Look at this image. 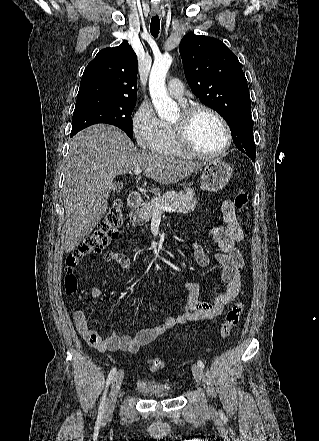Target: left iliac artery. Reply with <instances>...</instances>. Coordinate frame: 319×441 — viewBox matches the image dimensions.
<instances>
[{
	"label": "left iliac artery",
	"mask_w": 319,
	"mask_h": 441,
	"mask_svg": "<svg viewBox=\"0 0 319 441\" xmlns=\"http://www.w3.org/2000/svg\"><path fill=\"white\" fill-rule=\"evenodd\" d=\"M197 364L203 369L204 368V363L201 360L197 361Z\"/></svg>",
	"instance_id": "44dca946"
}]
</instances>
